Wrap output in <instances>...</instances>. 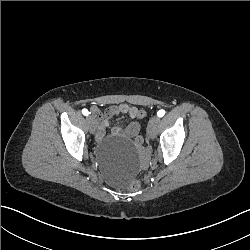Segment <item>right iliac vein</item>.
Segmentation results:
<instances>
[{
	"label": "right iliac vein",
	"mask_w": 250,
	"mask_h": 250,
	"mask_svg": "<svg viewBox=\"0 0 250 250\" xmlns=\"http://www.w3.org/2000/svg\"><path fill=\"white\" fill-rule=\"evenodd\" d=\"M86 121H87V124L89 126L90 132L94 133L95 128L97 126V123H96L95 119L92 116H87Z\"/></svg>",
	"instance_id": "63e3f726"
}]
</instances>
